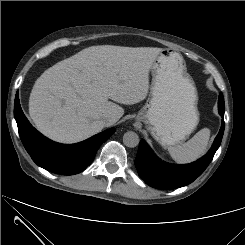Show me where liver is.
<instances>
[{
    "label": "liver",
    "instance_id": "obj_1",
    "mask_svg": "<svg viewBox=\"0 0 245 245\" xmlns=\"http://www.w3.org/2000/svg\"><path fill=\"white\" fill-rule=\"evenodd\" d=\"M162 48L91 46L45 70L29 97V115L45 136L76 143L112 125L124 109L144 100L149 71ZM116 102V103H115Z\"/></svg>",
    "mask_w": 245,
    "mask_h": 245
}]
</instances>
